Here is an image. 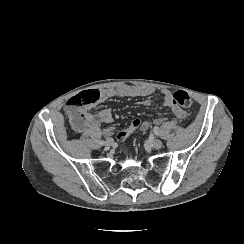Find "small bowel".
I'll return each mask as SVG.
<instances>
[{
	"label": "small bowel",
	"mask_w": 244,
	"mask_h": 244,
	"mask_svg": "<svg viewBox=\"0 0 244 244\" xmlns=\"http://www.w3.org/2000/svg\"><path fill=\"white\" fill-rule=\"evenodd\" d=\"M98 92L100 101H106L114 97H149L155 93V90L150 87L119 85L104 88ZM161 94L163 96L164 106L171 111L175 118L179 120H184L187 118V111L174 104L171 92L168 89L161 90ZM140 103L143 105H150L152 103V100L149 98H144L140 101ZM92 107L93 105L85 107V110L88 112L91 120L90 125L87 129H94L98 127L100 123H111L113 121V115L110 110L107 109L94 113L91 111ZM164 121L165 119L162 117H158L153 121H145L142 126H138V130H147L151 126L161 124ZM113 129V127H110L108 128V131L111 132L113 131Z\"/></svg>",
	"instance_id": "c3829d8e"
}]
</instances>
